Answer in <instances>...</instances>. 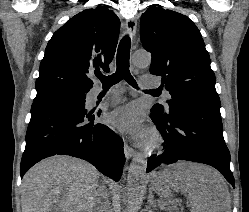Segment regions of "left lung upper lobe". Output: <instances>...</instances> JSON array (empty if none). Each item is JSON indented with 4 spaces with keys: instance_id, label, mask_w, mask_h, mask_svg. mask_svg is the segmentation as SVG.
<instances>
[{
    "instance_id": "obj_1",
    "label": "left lung upper lobe",
    "mask_w": 249,
    "mask_h": 212,
    "mask_svg": "<svg viewBox=\"0 0 249 212\" xmlns=\"http://www.w3.org/2000/svg\"><path fill=\"white\" fill-rule=\"evenodd\" d=\"M140 35L144 49L152 54L150 73L162 76L171 95L169 106L187 100L220 107L209 54L200 31L187 16L149 7L141 17Z\"/></svg>"
}]
</instances>
